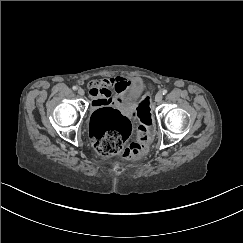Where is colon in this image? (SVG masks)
I'll return each mask as SVG.
<instances>
[{
  "instance_id": "obj_1",
  "label": "colon",
  "mask_w": 243,
  "mask_h": 243,
  "mask_svg": "<svg viewBox=\"0 0 243 243\" xmlns=\"http://www.w3.org/2000/svg\"><path fill=\"white\" fill-rule=\"evenodd\" d=\"M141 122L137 139L130 141L132 125L117 109L105 105L98 107L90 117V130L97 152L102 156H120L136 159L143 155L153 133V116L149 97H145L136 109Z\"/></svg>"
}]
</instances>
